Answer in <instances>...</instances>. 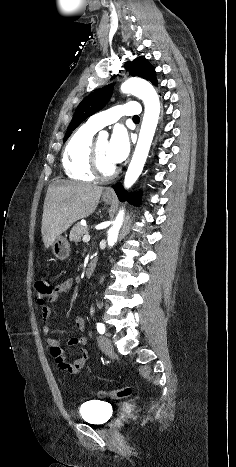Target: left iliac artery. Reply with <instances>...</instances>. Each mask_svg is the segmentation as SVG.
<instances>
[{
  "label": "left iliac artery",
  "instance_id": "44dca946",
  "mask_svg": "<svg viewBox=\"0 0 236 467\" xmlns=\"http://www.w3.org/2000/svg\"><path fill=\"white\" fill-rule=\"evenodd\" d=\"M93 312V309L91 308V313ZM96 328H97V331L100 333V334H104L105 333V326L103 323H96Z\"/></svg>",
  "mask_w": 236,
  "mask_h": 467
}]
</instances>
